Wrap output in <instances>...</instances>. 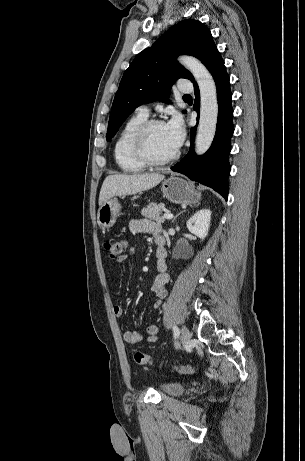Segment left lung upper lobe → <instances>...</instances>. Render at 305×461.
Returning <instances> with one entry per match:
<instances>
[{"label": "left lung upper lobe", "mask_w": 305, "mask_h": 461, "mask_svg": "<svg viewBox=\"0 0 305 461\" xmlns=\"http://www.w3.org/2000/svg\"><path fill=\"white\" fill-rule=\"evenodd\" d=\"M180 54L195 56L208 69L219 51L210 31L200 21L185 19L171 27L139 53L125 71L112 104L108 141L135 108L167 98L176 80L186 78L195 83L191 73L176 61Z\"/></svg>", "instance_id": "1"}]
</instances>
